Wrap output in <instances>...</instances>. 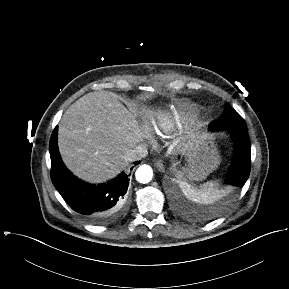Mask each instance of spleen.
<instances>
[{
  "label": "spleen",
  "mask_w": 289,
  "mask_h": 289,
  "mask_svg": "<svg viewBox=\"0 0 289 289\" xmlns=\"http://www.w3.org/2000/svg\"><path fill=\"white\" fill-rule=\"evenodd\" d=\"M217 185V183L215 182H208L206 184V186L210 189V190H213V188Z\"/></svg>",
  "instance_id": "3e777b00"
}]
</instances>
